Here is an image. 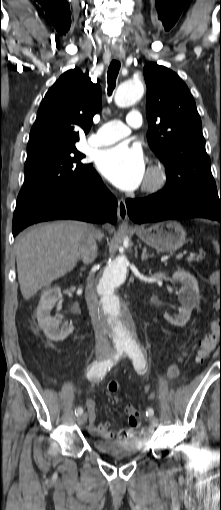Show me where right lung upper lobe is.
<instances>
[{
	"label": "right lung upper lobe",
	"mask_w": 221,
	"mask_h": 510,
	"mask_svg": "<svg viewBox=\"0 0 221 510\" xmlns=\"http://www.w3.org/2000/svg\"><path fill=\"white\" fill-rule=\"evenodd\" d=\"M101 105V88L80 69L65 72L48 90L30 131L27 154L75 146ZM79 129V131H77Z\"/></svg>",
	"instance_id": "1"
}]
</instances>
